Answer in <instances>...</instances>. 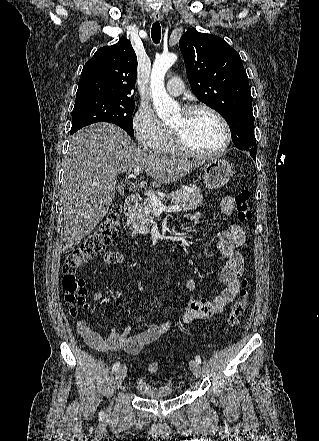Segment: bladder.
<instances>
[{"label": "bladder", "mask_w": 319, "mask_h": 441, "mask_svg": "<svg viewBox=\"0 0 319 441\" xmlns=\"http://www.w3.org/2000/svg\"><path fill=\"white\" fill-rule=\"evenodd\" d=\"M137 392L147 398H168L175 394L172 382H164L162 384H154L145 379H139L136 382Z\"/></svg>", "instance_id": "31cf9c89"}]
</instances>
